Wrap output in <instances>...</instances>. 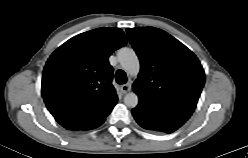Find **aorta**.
I'll use <instances>...</instances> for the list:
<instances>
[{
  "mask_svg": "<svg viewBox=\"0 0 248 158\" xmlns=\"http://www.w3.org/2000/svg\"><path fill=\"white\" fill-rule=\"evenodd\" d=\"M119 62L128 74L135 76L139 73L140 63L135 51L131 48L123 47L119 49L118 53ZM139 99L134 92H129L124 97L126 106L134 108L138 105Z\"/></svg>",
  "mask_w": 248,
  "mask_h": 158,
  "instance_id": "aorta-1",
  "label": "aorta"
}]
</instances>
